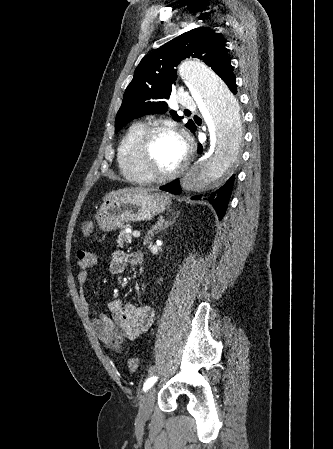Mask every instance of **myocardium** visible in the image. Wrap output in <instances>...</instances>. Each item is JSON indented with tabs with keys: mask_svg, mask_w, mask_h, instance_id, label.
Listing matches in <instances>:
<instances>
[{
	"mask_svg": "<svg viewBox=\"0 0 333 449\" xmlns=\"http://www.w3.org/2000/svg\"><path fill=\"white\" fill-rule=\"evenodd\" d=\"M162 131L177 135L185 149V155L181 163L174 170L165 173L155 171L149 164L153 139L156 134ZM137 158L139 169L143 175L150 181L165 182L176 178L187 168L192 158V150L185 136L176 126L167 122L157 121L144 129L137 146Z\"/></svg>",
	"mask_w": 333,
	"mask_h": 449,
	"instance_id": "1",
	"label": "myocardium"
}]
</instances>
